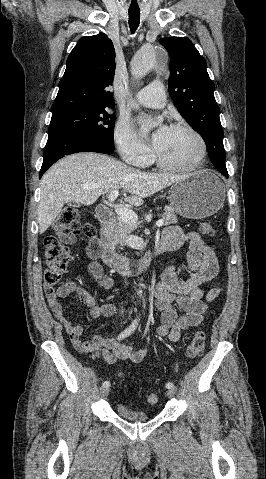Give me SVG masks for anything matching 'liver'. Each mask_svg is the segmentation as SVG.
I'll list each match as a JSON object with an SVG mask.
<instances>
[{"mask_svg":"<svg viewBox=\"0 0 266 479\" xmlns=\"http://www.w3.org/2000/svg\"><path fill=\"white\" fill-rule=\"evenodd\" d=\"M186 175L146 173L107 155L84 152L55 163L41 179L38 206L39 233L43 234L65 203L92 205L101 195L119 188L131 194L125 201L134 206Z\"/></svg>","mask_w":266,"mask_h":479,"instance_id":"liver-1","label":"liver"}]
</instances>
